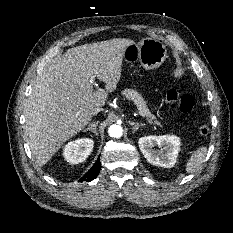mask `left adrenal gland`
<instances>
[{
    "label": "left adrenal gland",
    "mask_w": 233,
    "mask_h": 233,
    "mask_svg": "<svg viewBox=\"0 0 233 233\" xmlns=\"http://www.w3.org/2000/svg\"><path fill=\"white\" fill-rule=\"evenodd\" d=\"M129 124L133 126V133H135V131H137L139 127H142L144 125V124H139L135 122H129Z\"/></svg>",
    "instance_id": "obj_1"
}]
</instances>
